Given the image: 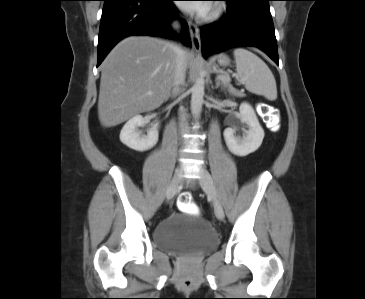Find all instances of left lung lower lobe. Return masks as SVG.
<instances>
[{
    "label": "left lung lower lobe",
    "instance_id": "0a47b994",
    "mask_svg": "<svg viewBox=\"0 0 365 299\" xmlns=\"http://www.w3.org/2000/svg\"><path fill=\"white\" fill-rule=\"evenodd\" d=\"M227 1L221 20L201 28L202 52L207 58L235 46H254L279 64L274 25L269 9L271 0Z\"/></svg>",
    "mask_w": 365,
    "mask_h": 299
}]
</instances>
